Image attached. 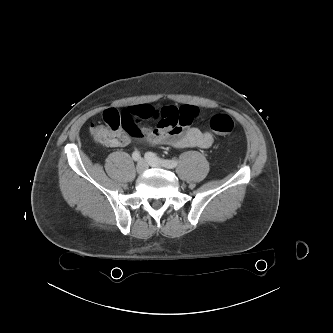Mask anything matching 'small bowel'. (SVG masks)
I'll return each mask as SVG.
<instances>
[{
    "mask_svg": "<svg viewBox=\"0 0 333 333\" xmlns=\"http://www.w3.org/2000/svg\"><path fill=\"white\" fill-rule=\"evenodd\" d=\"M127 114L132 117L135 130L132 133L119 131L112 147L126 146L132 139L154 145H168L175 148H209L213 136L209 132L192 127L199 110L195 106H166L156 109L149 105L130 107ZM144 120H155L156 125L145 126Z\"/></svg>",
    "mask_w": 333,
    "mask_h": 333,
    "instance_id": "c3829d8e",
    "label": "small bowel"
}]
</instances>
